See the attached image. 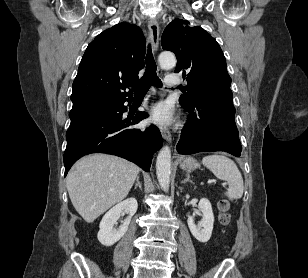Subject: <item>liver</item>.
<instances>
[{
  "label": "liver",
  "mask_w": 308,
  "mask_h": 278,
  "mask_svg": "<svg viewBox=\"0 0 308 278\" xmlns=\"http://www.w3.org/2000/svg\"><path fill=\"white\" fill-rule=\"evenodd\" d=\"M139 171L134 163L113 155L92 154L81 158L66 179L74 208L86 222H93L126 198Z\"/></svg>",
  "instance_id": "obj_1"
}]
</instances>
